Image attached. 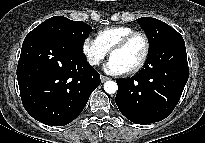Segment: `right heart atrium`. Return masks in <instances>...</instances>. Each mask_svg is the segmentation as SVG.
Masks as SVG:
<instances>
[{
    "label": "right heart atrium",
    "instance_id": "1",
    "mask_svg": "<svg viewBox=\"0 0 205 143\" xmlns=\"http://www.w3.org/2000/svg\"><path fill=\"white\" fill-rule=\"evenodd\" d=\"M82 51L86 60L92 66L99 65L108 55V50H106L97 39L90 36L84 39Z\"/></svg>",
    "mask_w": 205,
    "mask_h": 143
}]
</instances>
